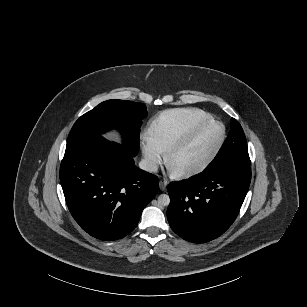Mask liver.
<instances>
[{"label": "liver", "mask_w": 307, "mask_h": 307, "mask_svg": "<svg viewBox=\"0 0 307 307\" xmlns=\"http://www.w3.org/2000/svg\"><path fill=\"white\" fill-rule=\"evenodd\" d=\"M100 136L107 143H123V136L121 135V130L115 127H110L105 131L100 133Z\"/></svg>", "instance_id": "6515ba94"}]
</instances>
